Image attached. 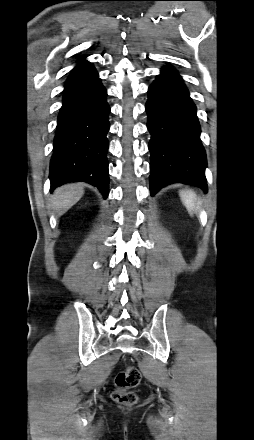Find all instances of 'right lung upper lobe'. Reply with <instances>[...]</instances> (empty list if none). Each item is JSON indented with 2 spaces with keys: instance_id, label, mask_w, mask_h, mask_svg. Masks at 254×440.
Wrapping results in <instances>:
<instances>
[{
  "instance_id": "1",
  "label": "right lung upper lobe",
  "mask_w": 254,
  "mask_h": 440,
  "mask_svg": "<svg viewBox=\"0 0 254 440\" xmlns=\"http://www.w3.org/2000/svg\"><path fill=\"white\" fill-rule=\"evenodd\" d=\"M84 59H85V57L81 58L79 61L81 62V61L84 60Z\"/></svg>"
}]
</instances>
